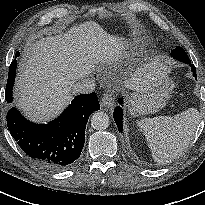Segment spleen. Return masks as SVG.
Instances as JSON below:
<instances>
[{"label": "spleen", "instance_id": "1", "mask_svg": "<svg viewBox=\"0 0 205 205\" xmlns=\"http://www.w3.org/2000/svg\"><path fill=\"white\" fill-rule=\"evenodd\" d=\"M199 121L197 109L189 108L175 115L144 118L137 122L143 131L154 161L166 164L189 146Z\"/></svg>", "mask_w": 205, "mask_h": 205}]
</instances>
